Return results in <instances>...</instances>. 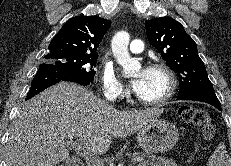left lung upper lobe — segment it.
<instances>
[{
    "label": "left lung upper lobe",
    "instance_id": "obj_1",
    "mask_svg": "<svg viewBox=\"0 0 231 166\" xmlns=\"http://www.w3.org/2000/svg\"><path fill=\"white\" fill-rule=\"evenodd\" d=\"M147 38L179 76V96L191 92H214L195 41L171 17L145 21Z\"/></svg>",
    "mask_w": 231,
    "mask_h": 166
}]
</instances>
